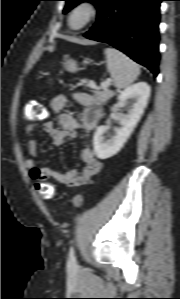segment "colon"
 Listing matches in <instances>:
<instances>
[{"label":"colon","instance_id":"1","mask_svg":"<svg viewBox=\"0 0 180 299\" xmlns=\"http://www.w3.org/2000/svg\"><path fill=\"white\" fill-rule=\"evenodd\" d=\"M25 117L31 121H41L48 117L47 108L38 101L32 100L27 104V111ZM37 191L45 198L52 199L55 196V188L49 181H42L36 184ZM73 202L75 204L81 203L79 196L75 197Z\"/></svg>","mask_w":180,"mask_h":299}]
</instances>
